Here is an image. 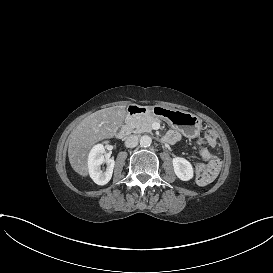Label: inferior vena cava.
I'll list each match as a JSON object with an SVG mask.
<instances>
[{"mask_svg": "<svg viewBox=\"0 0 273 273\" xmlns=\"http://www.w3.org/2000/svg\"><path fill=\"white\" fill-rule=\"evenodd\" d=\"M139 138L137 135H130L125 140V146L128 148H134L138 145Z\"/></svg>", "mask_w": 273, "mask_h": 273, "instance_id": "inferior-vena-cava-1", "label": "inferior vena cava"}]
</instances>
